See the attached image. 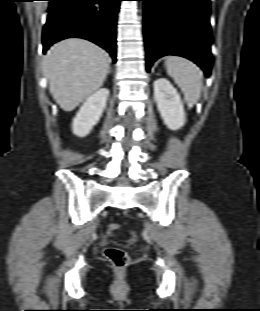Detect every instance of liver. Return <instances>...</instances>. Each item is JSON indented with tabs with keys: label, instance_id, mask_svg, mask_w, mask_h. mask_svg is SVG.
Segmentation results:
<instances>
[{
	"label": "liver",
	"instance_id": "obj_1",
	"mask_svg": "<svg viewBox=\"0 0 260 311\" xmlns=\"http://www.w3.org/2000/svg\"><path fill=\"white\" fill-rule=\"evenodd\" d=\"M108 69L107 53L79 38L60 41L43 59L50 93L64 111H72L95 93L103 85Z\"/></svg>",
	"mask_w": 260,
	"mask_h": 311
}]
</instances>
